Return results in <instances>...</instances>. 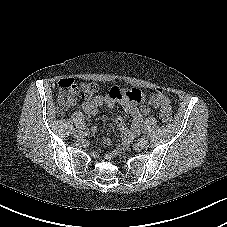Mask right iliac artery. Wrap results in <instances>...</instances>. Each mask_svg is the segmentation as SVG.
<instances>
[{
    "mask_svg": "<svg viewBox=\"0 0 227 227\" xmlns=\"http://www.w3.org/2000/svg\"><path fill=\"white\" fill-rule=\"evenodd\" d=\"M76 129L82 130L83 126L81 124H76Z\"/></svg>",
    "mask_w": 227,
    "mask_h": 227,
    "instance_id": "1",
    "label": "right iliac artery"
}]
</instances>
